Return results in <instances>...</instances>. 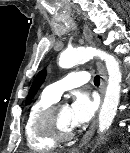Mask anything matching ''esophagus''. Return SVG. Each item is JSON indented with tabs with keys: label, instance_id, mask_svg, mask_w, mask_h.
I'll return each instance as SVG.
<instances>
[{
	"label": "esophagus",
	"instance_id": "1",
	"mask_svg": "<svg viewBox=\"0 0 130 153\" xmlns=\"http://www.w3.org/2000/svg\"><path fill=\"white\" fill-rule=\"evenodd\" d=\"M83 34H84V37L86 39V41L93 45L94 42H93V35H92V32L90 30V28L88 27L87 24H84L83 25ZM96 66H97V69H98V72L101 76V87H100V93H101V98L103 99L104 97V94H105V90H106V85H107V74H106V70L103 66V64L100 62V61H97L96 62ZM96 125H97V119H95L93 121V123L91 124L90 128L88 129V131L86 132V134L84 135L81 143L79 144L78 147L76 148H73L70 150V153H79V151L89 142V140L91 139L93 133H94V130L96 128Z\"/></svg>",
	"mask_w": 130,
	"mask_h": 153
}]
</instances>
